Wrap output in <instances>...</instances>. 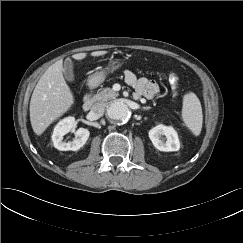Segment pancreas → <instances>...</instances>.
I'll list each match as a JSON object with an SVG mask.
<instances>
[{"mask_svg": "<svg viewBox=\"0 0 243 243\" xmlns=\"http://www.w3.org/2000/svg\"><path fill=\"white\" fill-rule=\"evenodd\" d=\"M119 93L115 92L112 88H103L99 93L94 96V100L97 102H107L118 97Z\"/></svg>", "mask_w": 243, "mask_h": 243, "instance_id": "cf45deb5", "label": "pancreas"}]
</instances>
